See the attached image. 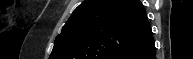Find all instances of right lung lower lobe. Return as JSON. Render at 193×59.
<instances>
[{
	"mask_svg": "<svg viewBox=\"0 0 193 59\" xmlns=\"http://www.w3.org/2000/svg\"><path fill=\"white\" fill-rule=\"evenodd\" d=\"M124 59H156L153 37H151L142 47L126 56Z\"/></svg>",
	"mask_w": 193,
	"mask_h": 59,
	"instance_id": "obj_1",
	"label": "right lung lower lobe"
}]
</instances>
